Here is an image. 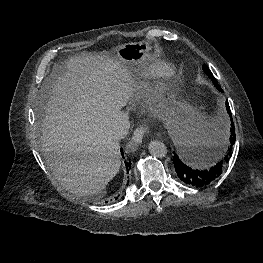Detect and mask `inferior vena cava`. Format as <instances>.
<instances>
[{
	"mask_svg": "<svg viewBox=\"0 0 263 263\" xmlns=\"http://www.w3.org/2000/svg\"><path fill=\"white\" fill-rule=\"evenodd\" d=\"M130 122L127 116L114 118L108 126L109 135L115 140H121L129 132Z\"/></svg>",
	"mask_w": 263,
	"mask_h": 263,
	"instance_id": "inferior-vena-cava-1",
	"label": "inferior vena cava"
}]
</instances>
